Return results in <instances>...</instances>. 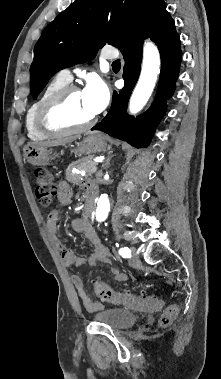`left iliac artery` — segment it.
Returning a JSON list of instances; mask_svg holds the SVG:
<instances>
[{
  "instance_id": "1",
  "label": "left iliac artery",
  "mask_w": 221,
  "mask_h": 379,
  "mask_svg": "<svg viewBox=\"0 0 221 379\" xmlns=\"http://www.w3.org/2000/svg\"><path fill=\"white\" fill-rule=\"evenodd\" d=\"M119 254L123 257V258H130L131 257V250L127 247H122L119 249Z\"/></svg>"
}]
</instances>
